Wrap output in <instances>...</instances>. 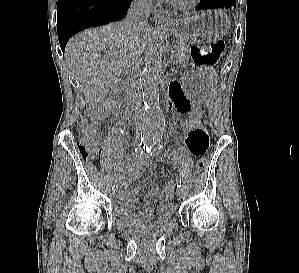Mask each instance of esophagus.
I'll return each instance as SVG.
<instances>
[{"instance_id": "obj_1", "label": "esophagus", "mask_w": 299, "mask_h": 273, "mask_svg": "<svg viewBox=\"0 0 299 273\" xmlns=\"http://www.w3.org/2000/svg\"><path fill=\"white\" fill-rule=\"evenodd\" d=\"M154 21L158 24H168L171 22V20L165 16L162 12H156L154 14Z\"/></svg>"}]
</instances>
